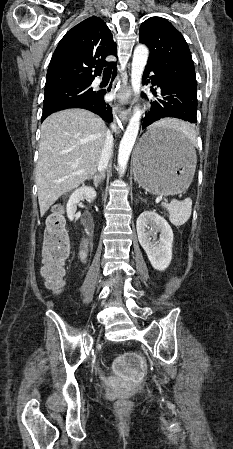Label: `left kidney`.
<instances>
[{
	"label": "left kidney",
	"mask_w": 233,
	"mask_h": 449,
	"mask_svg": "<svg viewBox=\"0 0 233 449\" xmlns=\"http://www.w3.org/2000/svg\"><path fill=\"white\" fill-rule=\"evenodd\" d=\"M138 240L154 269L164 271L172 260L173 231L154 211H144L136 223ZM160 233L157 240V233Z\"/></svg>",
	"instance_id": "left-kidney-1"
}]
</instances>
